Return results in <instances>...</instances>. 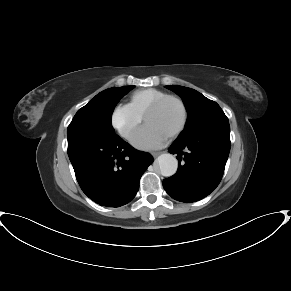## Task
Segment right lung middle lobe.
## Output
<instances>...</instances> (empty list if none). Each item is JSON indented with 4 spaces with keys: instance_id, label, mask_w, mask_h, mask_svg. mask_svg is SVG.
<instances>
[{
    "instance_id": "dd1d6c3e",
    "label": "right lung middle lobe",
    "mask_w": 291,
    "mask_h": 291,
    "mask_svg": "<svg viewBox=\"0 0 291 291\" xmlns=\"http://www.w3.org/2000/svg\"><path fill=\"white\" fill-rule=\"evenodd\" d=\"M135 86L106 89L79 109L67 129V135L91 134L101 137L116 136L111 116L116 104Z\"/></svg>"
}]
</instances>
